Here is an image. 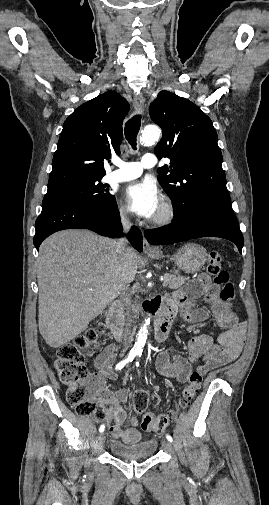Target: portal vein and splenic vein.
I'll return each instance as SVG.
<instances>
[{
	"label": "portal vein and splenic vein",
	"instance_id": "18ae733b",
	"mask_svg": "<svg viewBox=\"0 0 269 505\" xmlns=\"http://www.w3.org/2000/svg\"><path fill=\"white\" fill-rule=\"evenodd\" d=\"M163 286H166V283H165V282H163Z\"/></svg>",
	"mask_w": 269,
	"mask_h": 505
}]
</instances>
